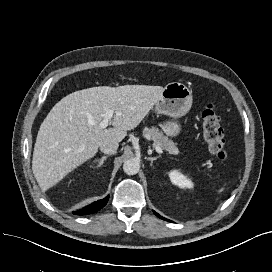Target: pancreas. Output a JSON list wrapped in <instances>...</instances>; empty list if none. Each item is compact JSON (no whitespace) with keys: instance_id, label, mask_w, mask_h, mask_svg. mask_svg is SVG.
<instances>
[{"instance_id":"1","label":"pancreas","mask_w":272,"mask_h":272,"mask_svg":"<svg viewBox=\"0 0 272 272\" xmlns=\"http://www.w3.org/2000/svg\"><path fill=\"white\" fill-rule=\"evenodd\" d=\"M143 134L149 136L153 141V145L161 147L163 150L167 151L169 154L177 155L179 154V149L172 140L168 139L167 136H164L162 132L159 131L156 127L143 129Z\"/></svg>"}]
</instances>
